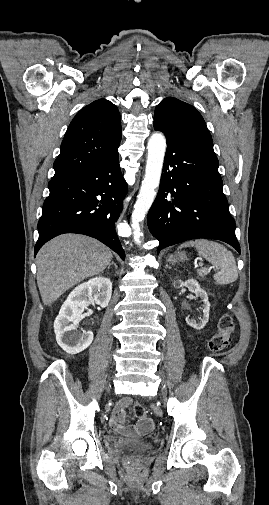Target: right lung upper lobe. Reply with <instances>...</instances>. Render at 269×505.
Returning <instances> with one entry per match:
<instances>
[{"label": "right lung upper lobe", "instance_id": "cb5924a9", "mask_svg": "<svg viewBox=\"0 0 269 505\" xmlns=\"http://www.w3.org/2000/svg\"><path fill=\"white\" fill-rule=\"evenodd\" d=\"M121 141L120 114L106 99L82 108L70 123L54 162L55 175L65 174L113 155Z\"/></svg>", "mask_w": 269, "mask_h": 505}]
</instances>
